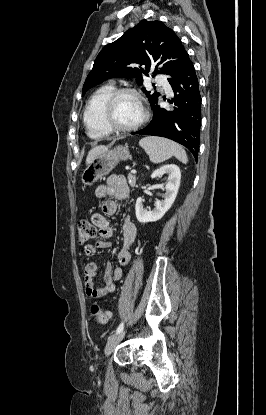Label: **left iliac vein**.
I'll return each instance as SVG.
<instances>
[{
	"mask_svg": "<svg viewBox=\"0 0 266 415\" xmlns=\"http://www.w3.org/2000/svg\"><path fill=\"white\" fill-rule=\"evenodd\" d=\"M124 335H125V331L122 330L120 333H116L108 339L106 347H105V354L107 356L110 355L114 351L115 347L123 339Z\"/></svg>",
	"mask_w": 266,
	"mask_h": 415,
	"instance_id": "4c4485c4",
	"label": "left iliac vein"
}]
</instances>
